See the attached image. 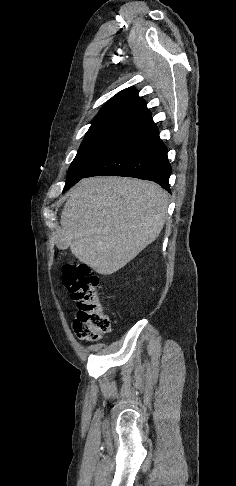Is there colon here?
Instances as JSON below:
<instances>
[{"label":"colon","instance_id":"1","mask_svg":"<svg viewBox=\"0 0 236 486\" xmlns=\"http://www.w3.org/2000/svg\"><path fill=\"white\" fill-rule=\"evenodd\" d=\"M63 281L73 300L77 302L78 313L73 329L80 340L95 341L110 329V320L98 294L99 278L87 265L66 264L63 267Z\"/></svg>","mask_w":236,"mask_h":486}]
</instances>
